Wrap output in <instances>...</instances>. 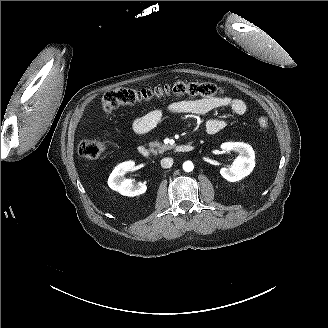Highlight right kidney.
<instances>
[{
    "label": "right kidney",
    "mask_w": 328,
    "mask_h": 328,
    "mask_svg": "<svg viewBox=\"0 0 328 328\" xmlns=\"http://www.w3.org/2000/svg\"><path fill=\"white\" fill-rule=\"evenodd\" d=\"M135 170L134 161H126L117 165L108 178V186L125 196L143 194L147 186L144 183L134 184L131 179H124V175Z\"/></svg>",
    "instance_id": "1"
}]
</instances>
